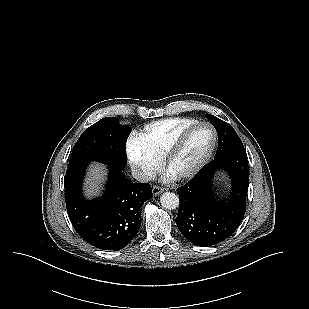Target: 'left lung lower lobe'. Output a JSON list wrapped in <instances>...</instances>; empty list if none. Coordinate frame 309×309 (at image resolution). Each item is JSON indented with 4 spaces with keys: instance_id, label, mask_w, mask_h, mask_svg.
Wrapping results in <instances>:
<instances>
[{
    "instance_id": "0a47b994",
    "label": "left lung lower lobe",
    "mask_w": 309,
    "mask_h": 309,
    "mask_svg": "<svg viewBox=\"0 0 309 309\" xmlns=\"http://www.w3.org/2000/svg\"><path fill=\"white\" fill-rule=\"evenodd\" d=\"M217 133L220 134L217 130ZM218 169L231 176L232 193L216 201L211 179ZM249 171L246 150L237 149L217 156L186 185L177 189L179 211L176 224L182 235L197 246L208 247L227 239L238 228L246 211Z\"/></svg>"
}]
</instances>
